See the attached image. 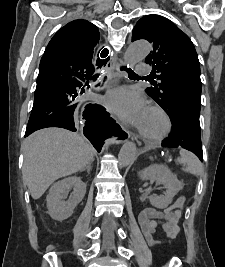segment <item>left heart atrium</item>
Listing matches in <instances>:
<instances>
[{
  "instance_id": "left-heart-atrium-1",
  "label": "left heart atrium",
  "mask_w": 225,
  "mask_h": 267,
  "mask_svg": "<svg viewBox=\"0 0 225 267\" xmlns=\"http://www.w3.org/2000/svg\"><path fill=\"white\" fill-rule=\"evenodd\" d=\"M106 105L122 120L140 127L147 111L143 95L129 87H118L106 96Z\"/></svg>"
}]
</instances>
